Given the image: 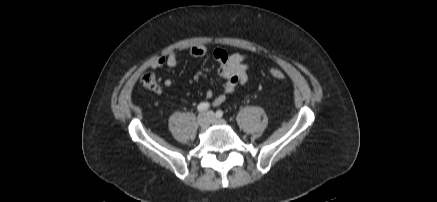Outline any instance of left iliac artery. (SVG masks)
<instances>
[{"label":"left iliac artery","mask_w":437,"mask_h":202,"mask_svg":"<svg viewBox=\"0 0 437 202\" xmlns=\"http://www.w3.org/2000/svg\"><path fill=\"white\" fill-rule=\"evenodd\" d=\"M216 116H217L218 118H221V117L223 116V111H222V110H218V111L216 112Z\"/></svg>","instance_id":"obj_1"}]
</instances>
